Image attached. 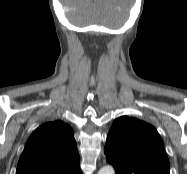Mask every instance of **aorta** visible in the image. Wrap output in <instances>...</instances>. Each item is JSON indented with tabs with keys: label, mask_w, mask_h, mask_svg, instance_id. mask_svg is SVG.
I'll list each match as a JSON object with an SVG mask.
<instances>
[{
	"label": "aorta",
	"mask_w": 187,
	"mask_h": 174,
	"mask_svg": "<svg viewBox=\"0 0 187 174\" xmlns=\"http://www.w3.org/2000/svg\"><path fill=\"white\" fill-rule=\"evenodd\" d=\"M98 174H115L114 168L110 165L102 167Z\"/></svg>",
	"instance_id": "762f6f07"
}]
</instances>
